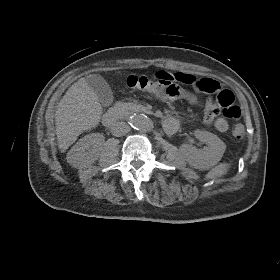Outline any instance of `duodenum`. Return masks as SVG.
I'll use <instances>...</instances> for the list:
<instances>
[{
    "mask_svg": "<svg viewBox=\"0 0 280 280\" xmlns=\"http://www.w3.org/2000/svg\"><path fill=\"white\" fill-rule=\"evenodd\" d=\"M122 112L117 109H112L107 111L103 116H102V124L106 127L112 126L118 118L121 116Z\"/></svg>",
    "mask_w": 280,
    "mask_h": 280,
    "instance_id": "duodenum-1",
    "label": "duodenum"
}]
</instances>
